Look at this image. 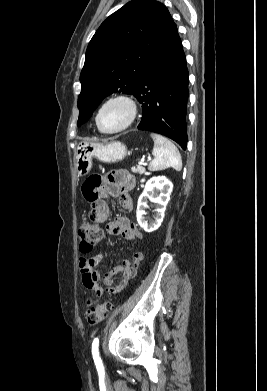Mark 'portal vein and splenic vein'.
Listing matches in <instances>:
<instances>
[{"label":"portal vein and splenic vein","mask_w":267,"mask_h":391,"mask_svg":"<svg viewBox=\"0 0 267 391\" xmlns=\"http://www.w3.org/2000/svg\"><path fill=\"white\" fill-rule=\"evenodd\" d=\"M148 160H151L150 158ZM140 165H146L147 163L145 162V160H141V162L139 163Z\"/></svg>","instance_id":"1"}]
</instances>
